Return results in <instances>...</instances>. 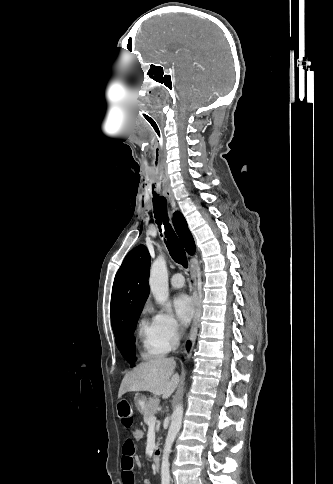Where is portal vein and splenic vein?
I'll return each instance as SVG.
<instances>
[{
  "label": "portal vein and splenic vein",
  "mask_w": 333,
  "mask_h": 484,
  "mask_svg": "<svg viewBox=\"0 0 333 484\" xmlns=\"http://www.w3.org/2000/svg\"><path fill=\"white\" fill-rule=\"evenodd\" d=\"M155 423H156V417L155 416L149 418V420H148V425L149 426H154Z\"/></svg>",
  "instance_id": "portal-vein-and-splenic-vein-1"
}]
</instances>
